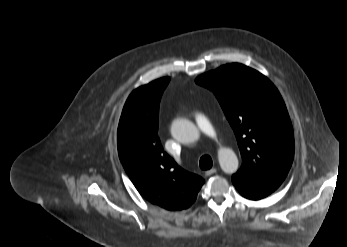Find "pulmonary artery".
Instances as JSON below:
<instances>
[{"label": "pulmonary artery", "instance_id": "1", "mask_svg": "<svg viewBox=\"0 0 347 247\" xmlns=\"http://www.w3.org/2000/svg\"><path fill=\"white\" fill-rule=\"evenodd\" d=\"M195 121L199 130L210 138H216V130L210 120L203 114L197 113L195 115Z\"/></svg>", "mask_w": 347, "mask_h": 247}]
</instances>
